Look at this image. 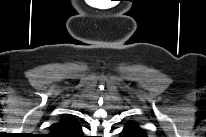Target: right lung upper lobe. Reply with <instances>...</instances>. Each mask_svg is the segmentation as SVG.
<instances>
[{"mask_svg": "<svg viewBox=\"0 0 206 137\" xmlns=\"http://www.w3.org/2000/svg\"><path fill=\"white\" fill-rule=\"evenodd\" d=\"M53 137H78L82 135V129L75 117L65 115L62 119L49 127Z\"/></svg>", "mask_w": 206, "mask_h": 137, "instance_id": "cb5924a9", "label": "right lung upper lobe"}]
</instances>
